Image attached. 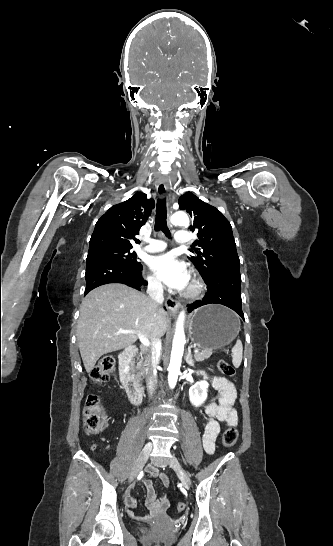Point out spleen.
Segmentation results:
<instances>
[{
  "mask_svg": "<svg viewBox=\"0 0 333 546\" xmlns=\"http://www.w3.org/2000/svg\"><path fill=\"white\" fill-rule=\"evenodd\" d=\"M240 330V324L238 326V332ZM242 352H243V345L240 340L236 342L234 347L232 348V363L234 367L238 368L242 362Z\"/></svg>",
  "mask_w": 333,
  "mask_h": 546,
  "instance_id": "1",
  "label": "spleen"
}]
</instances>
